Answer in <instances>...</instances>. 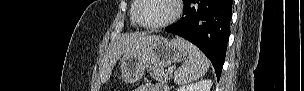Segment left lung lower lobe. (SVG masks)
<instances>
[{
  "instance_id": "obj_1",
  "label": "left lung lower lobe",
  "mask_w": 304,
  "mask_h": 91,
  "mask_svg": "<svg viewBox=\"0 0 304 91\" xmlns=\"http://www.w3.org/2000/svg\"><path fill=\"white\" fill-rule=\"evenodd\" d=\"M183 3V17L165 30L203 51L219 80L230 35L232 0H183Z\"/></svg>"
}]
</instances>
